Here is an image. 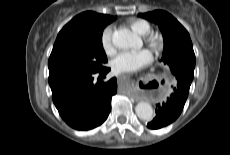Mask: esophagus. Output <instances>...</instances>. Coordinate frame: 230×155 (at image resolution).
Returning a JSON list of instances; mask_svg holds the SVG:
<instances>
[{
    "mask_svg": "<svg viewBox=\"0 0 230 155\" xmlns=\"http://www.w3.org/2000/svg\"><path fill=\"white\" fill-rule=\"evenodd\" d=\"M119 79L122 80V81H125V77L124 76H120Z\"/></svg>",
    "mask_w": 230,
    "mask_h": 155,
    "instance_id": "esophagus-1",
    "label": "esophagus"
}]
</instances>
